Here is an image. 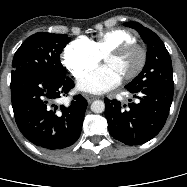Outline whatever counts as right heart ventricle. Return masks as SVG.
Wrapping results in <instances>:
<instances>
[{
    "label": "right heart ventricle",
    "instance_id": "right-heart-ventricle-1",
    "mask_svg": "<svg viewBox=\"0 0 187 187\" xmlns=\"http://www.w3.org/2000/svg\"><path fill=\"white\" fill-rule=\"evenodd\" d=\"M87 40L99 57H103L106 52L120 44L136 42L135 36L124 29L104 31L96 37Z\"/></svg>",
    "mask_w": 187,
    "mask_h": 187
}]
</instances>
